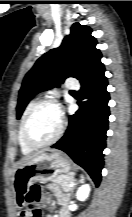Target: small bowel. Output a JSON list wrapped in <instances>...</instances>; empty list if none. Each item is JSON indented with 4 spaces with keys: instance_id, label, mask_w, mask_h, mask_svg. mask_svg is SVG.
Wrapping results in <instances>:
<instances>
[{
    "instance_id": "c3829d8e",
    "label": "small bowel",
    "mask_w": 132,
    "mask_h": 217,
    "mask_svg": "<svg viewBox=\"0 0 132 217\" xmlns=\"http://www.w3.org/2000/svg\"><path fill=\"white\" fill-rule=\"evenodd\" d=\"M50 188H52L55 192V201H53L50 198H44L43 204L45 208L52 207L55 204L64 206L68 203L69 198L67 194L62 193L56 187L50 186ZM25 195H26V190L23 189L16 190V202L17 205L22 209L19 214L20 217H30L31 207H37L36 205L30 206L29 204H27V202L25 201ZM47 217H53V216L48 215ZM60 217H68L67 212L65 210H62L60 212Z\"/></svg>"
}]
</instances>
